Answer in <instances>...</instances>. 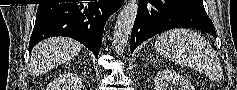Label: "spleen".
<instances>
[{
	"instance_id": "3e777b00",
	"label": "spleen",
	"mask_w": 237,
	"mask_h": 90,
	"mask_svg": "<svg viewBox=\"0 0 237 90\" xmlns=\"http://www.w3.org/2000/svg\"><path fill=\"white\" fill-rule=\"evenodd\" d=\"M155 48L160 56L202 74H213L219 64L212 46L194 30L175 28L163 32L158 36Z\"/></svg>"
}]
</instances>
